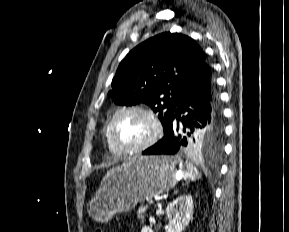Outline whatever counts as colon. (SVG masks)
<instances>
[{"mask_svg": "<svg viewBox=\"0 0 289 232\" xmlns=\"http://www.w3.org/2000/svg\"><path fill=\"white\" fill-rule=\"evenodd\" d=\"M93 232H104V231L102 229H100V228H97Z\"/></svg>", "mask_w": 289, "mask_h": 232, "instance_id": "5ec220e1", "label": "colon"}]
</instances>
